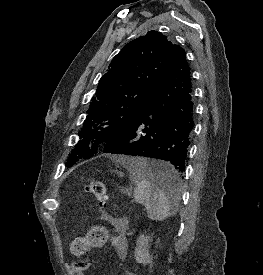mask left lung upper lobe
<instances>
[{
    "label": "left lung upper lobe",
    "instance_id": "5c2ea615",
    "mask_svg": "<svg viewBox=\"0 0 263 275\" xmlns=\"http://www.w3.org/2000/svg\"><path fill=\"white\" fill-rule=\"evenodd\" d=\"M180 48L154 30L123 47L99 81L80 134L82 140L67 167L92 157L128 129L163 81Z\"/></svg>",
    "mask_w": 263,
    "mask_h": 275
}]
</instances>
